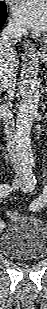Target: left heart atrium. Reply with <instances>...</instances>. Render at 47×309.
<instances>
[{"mask_svg":"<svg viewBox=\"0 0 47 309\" xmlns=\"http://www.w3.org/2000/svg\"><path fill=\"white\" fill-rule=\"evenodd\" d=\"M14 15L23 24L35 30H44L47 25V4L45 0H16Z\"/></svg>","mask_w":47,"mask_h":309,"instance_id":"obj_1","label":"left heart atrium"}]
</instances>
